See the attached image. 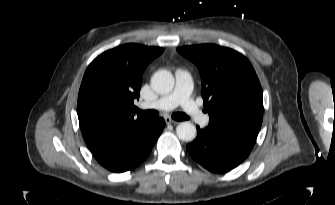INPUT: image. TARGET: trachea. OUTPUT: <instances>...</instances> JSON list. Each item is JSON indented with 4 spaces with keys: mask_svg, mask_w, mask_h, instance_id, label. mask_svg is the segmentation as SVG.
Listing matches in <instances>:
<instances>
[{
    "mask_svg": "<svg viewBox=\"0 0 335 205\" xmlns=\"http://www.w3.org/2000/svg\"><path fill=\"white\" fill-rule=\"evenodd\" d=\"M136 112L139 115H142V116H145V117H150V118L157 117L159 115V112L156 111V110L143 111V110H140V109H136ZM172 118L176 121H183V120H188L189 119V117L186 114L180 113V112L172 114Z\"/></svg>",
    "mask_w": 335,
    "mask_h": 205,
    "instance_id": "1",
    "label": "trachea"
}]
</instances>
